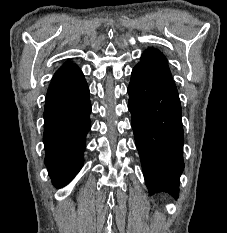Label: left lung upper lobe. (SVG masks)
<instances>
[{
	"label": "left lung upper lobe",
	"mask_w": 227,
	"mask_h": 233,
	"mask_svg": "<svg viewBox=\"0 0 227 233\" xmlns=\"http://www.w3.org/2000/svg\"><path fill=\"white\" fill-rule=\"evenodd\" d=\"M136 66L144 67L150 71L171 78V72L166 57L155 48H150L145 51L141 57L140 63Z\"/></svg>",
	"instance_id": "obj_1"
}]
</instances>
